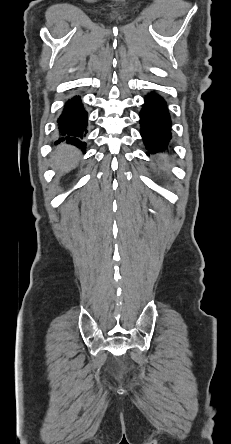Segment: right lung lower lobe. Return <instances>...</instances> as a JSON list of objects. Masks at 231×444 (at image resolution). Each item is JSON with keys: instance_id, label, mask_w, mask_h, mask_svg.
<instances>
[{"instance_id": "right-lung-lower-lobe-1", "label": "right lung lower lobe", "mask_w": 231, "mask_h": 444, "mask_svg": "<svg viewBox=\"0 0 231 444\" xmlns=\"http://www.w3.org/2000/svg\"><path fill=\"white\" fill-rule=\"evenodd\" d=\"M57 122L61 135L60 140H65L67 143L84 150L86 143L83 141V137L87 133V112L84 110L78 96L66 102Z\"/></svg>"}]
</instances>
